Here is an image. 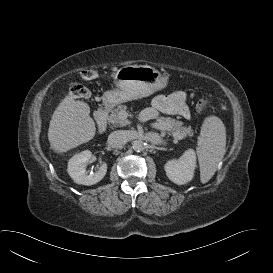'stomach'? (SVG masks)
<instances>
[{
    "label": "stomach",
    "mask_w": 273,
    "mask_h": 273,
    "mask_svg": "<svg viewBox=\"0 0 273 273\" xmlns=\"http://www.w3.org/2000/svg\"><path fill=\"white\" fill-rule=\"evenodd\" d=\"M114 81L117 88L103 94V103L108 108L164 89L168 77L148 65H131L118 69Z\"/></svg>",
    "instance_id": "0dacf381"
}]
</instances>
